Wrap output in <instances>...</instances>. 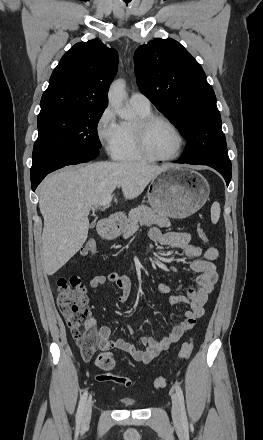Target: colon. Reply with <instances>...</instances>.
Instances as JSON below:
<instances>
[{"label": "colon", "instance_id": "1", "mask_svg": "<svg viewBox=\"0 0 263 440\" xmlns=\"http://www.w3.org/2000/svg\"><path fill=\"white\" fill-rule=\"evenodd\" d=\"M198 235L203 242L207 241V235L202 227L197 229ZM82 252L86 255H96L97 244L94 239H89L83 246ZM58 297L57 303L72 337L77 341L83 358L89 359L94 355L97 345V335L90 326V307L85 295V287L78 276H62L57 280ZM193 340L183 343L179 352V361L189 358L193 350ZM98 368L102 371L97 376L100 382L116 383L125 387L131 386V381L123 376L113 374L114 358L111 354L101 353L96 358ZM167 385V379L159 377L154 381L156 389H163Z\"/></svg>", "mask_w": 263, "mask_h": 440}]
</instances>
